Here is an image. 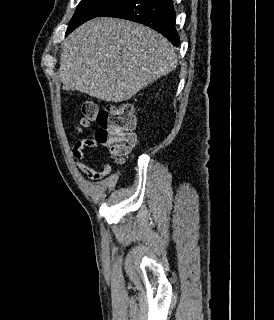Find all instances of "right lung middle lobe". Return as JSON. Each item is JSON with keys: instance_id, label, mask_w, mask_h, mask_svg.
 Returning a JSON list of instances; mask_svg holds the SVG:
<instances>
[{"instance_id": "1", "label": "right lung middle lobe", "mask_w": 274, "mask_h": 320, "mask_svg": "<svg viewBox=\"0 0 274 320\" xmlns=\"http://www.w3.org/2000/svg\"><path fill=\"white\" fill-rule=\"evenodd\" d=\"M120 0H81L72 17L66 35L84 22L98 17L102 12L114 6Z\"/></svg>"}]
</instances>
